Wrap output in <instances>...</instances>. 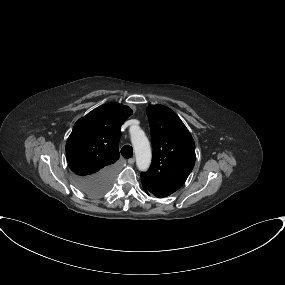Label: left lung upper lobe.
<instances>
[{"mask_svg":"<svg viewBox=\"0 0 285 285\" xmlns=\"http://www.w3.org/2000/svg\"><path fill=\"white\" fill-rule=\"evenodd\" d=\"M152 139V163L141 173L143 188L158 198L169 196L186 181L195 164V143L178 115L163 105L146 109Z\"/></svg>","mask_w":285,"mask_h":285,"instance_id":"1","label":"left lung upper lobe"}]
</instances>
